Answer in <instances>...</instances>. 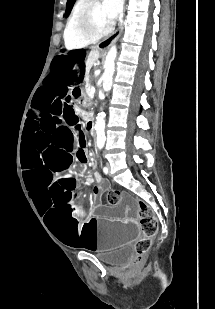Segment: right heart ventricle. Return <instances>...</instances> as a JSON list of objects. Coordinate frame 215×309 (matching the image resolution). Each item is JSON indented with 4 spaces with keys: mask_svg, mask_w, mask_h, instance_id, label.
I'll return each mask as SVG.
<instances>
[{
    "mask_svg": "<svg viewBox=\"0 0 215 309\" xmlns=\"http://www.w3.org/2000/svg\"><path fill=\"white\" fill-rule=\"evenodd\" d=\"M75 11L76 10L74 9L69 15L66 25H65L64 32H63V39H64V44L66 48H82L83 47L77 43L80 40H84V37H81V32L75 31L73 36L70 33V30H77L78 28V25H77L78 21H74V23H70Z\"/></svg>",
    "mask_w": 215,
    "mask_h": 309,
    "instance_id": "right-heart-ventricle-1",
    "label": "right heart ventricle"
}]
</instances>
